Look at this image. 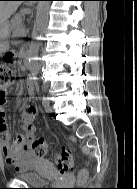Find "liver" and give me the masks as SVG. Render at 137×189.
<instances>
[{
  "instance_id": "obj_1",
  "label": "liver",
  "mask_w": 137,
  "mask_h": 189,
  "mask_svg": "<svg viewBox=\"0 0 137 189\" xmlns=\"http://www.w3.org/2000/svg\"><path fill=\"white\" fill-rule=\"evenodd\" d=\"M21 1H0V29L7 23L9 17L17 10Z\"/></svg>"
}]
</instances>
